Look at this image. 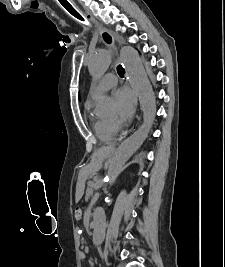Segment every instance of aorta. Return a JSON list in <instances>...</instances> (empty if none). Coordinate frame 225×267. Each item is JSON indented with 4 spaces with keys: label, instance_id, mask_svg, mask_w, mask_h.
I'll return each mask as SVG.
<instances>
[{
    "label": "aorta",
    "instance_id": "obj_1",
    "mask_svg": "<svg viewBox=\"0 0 225 267\" xmlns=\"http://www.w3.org/2000/svg\"><path fill=\"white\" fill-rule=\"evenodd\" d=\"M120 60L128 76V80L138 95L143 111V123L140 128L126 139L116 150L107 170V180L113 181L121 168L129 158L139 149L148 136L150 127L155 119L156 101L152 86L146 75L141 58L131 46H124L120 51ZM111 64V56L105 49L99 50L89 61L88 69L95 78L102 77ZM111 105V99L101 97L97 106L99 109H107ZM94 233L93 243L99 245L105 236V211L97 207L93 213Z\"/></svg>",
    "mask_w": 225,
    "mask_h": 267
}]
</instances>
